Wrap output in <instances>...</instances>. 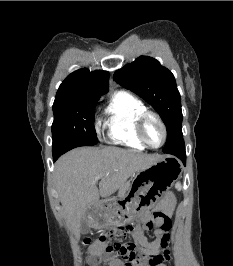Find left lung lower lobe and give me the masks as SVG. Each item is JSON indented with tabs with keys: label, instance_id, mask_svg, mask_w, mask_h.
<instances>
[{
	"label": "left lung lower lobe",
	"instance_id": "obj_1",
	"mask_svg": "<svg viewBox=\"0 0 233 266\" xmlns=\"http://www.w3.org/2000/svg\"><path fill=\"white\" fill-rule=\"evenodd\" d=\"M164 152L178 157L184 165L186 164V153L183 139L175 143L172 147L165 149Z\"/></svg>",
	"mask_w": 233,
	"mask_h": 266
}]
</instances>
